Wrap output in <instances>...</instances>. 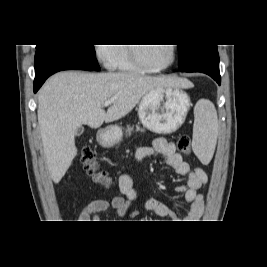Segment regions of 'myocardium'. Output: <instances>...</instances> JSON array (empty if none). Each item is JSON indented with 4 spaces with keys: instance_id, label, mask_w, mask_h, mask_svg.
<instances>
[{
    "instance_id": "1",
    "label": "myocardium",
    "mask_w": 267,
    "mask_h": 267,
    "mask_svg": "<svg viewBox=\"0 0 267 267\" xmlns=\"http://www.w3.org/2000/svg\"><path fill=\"white\" fill-rule=\"evenodd\" d=\"M135 44H130V46H128V51H129V56H130V59L132 61V63L137 67L139 68L140 70L142 71H145V72H161V71H164L168 68H170L175 60H176V46L174 44H170L171 46V59L170 61L161 66V67H150L148 65H146L140 58L139 56V53H138V50H137V46H134Z\"/></svg>"
}]
</instances>
